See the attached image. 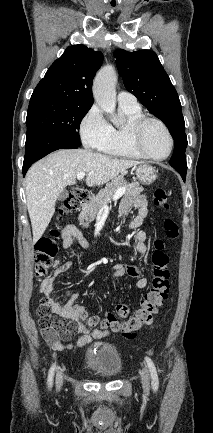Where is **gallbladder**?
I'll use <instances>...</instances> for the list:
<instances>
[{
  "mask_svg": "<svg viewBox=\"0 0 213 433\" xmlns=\"http://www.w3.org/2000/svg\"><path fill=\"white\" fill-rule=\"evenodd\" d=\"M67 197H68V191L67 190H63L60 193V195L58 197V200L62 201V200H65Z\"/></svg>",
  "mask_w": 213,
  "mask_h": 433,
  "instance_id": "1",
  "label": "gallbladder"
}]
</instances>
